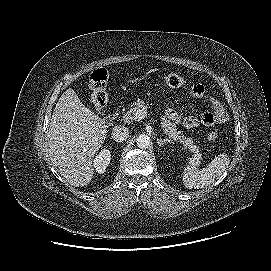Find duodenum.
<instances>
[{
    "instance_id": "1",
    "label": "duodenum",
    "mask_w": 271,
    "mask_h": 271,
    "mask_svg": "<svg viewBox=\"0 0 271 271\" xmlns=\"http://www.w3.org/2000/svg\"><path fill=\"white\" fill-rule=\"evenodd\" d=\"M118 118V112H113L105 116L102 120V125L104 128H108L116 119Z\"/></svg>"
}]
</instances>
